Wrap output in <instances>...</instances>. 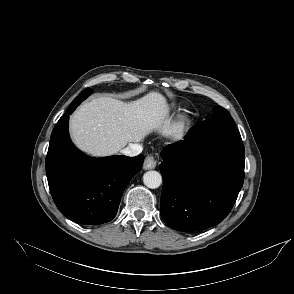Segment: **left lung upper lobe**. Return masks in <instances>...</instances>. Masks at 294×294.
<instances>
[{"mask_svg": "<svg viewBox=\"0 0 294 294\" xmlns=\"http://www.w3.org/2000/svg\"><path fill=\"white\" fill-rule=\"evenodd\" d=\"M213 112L215 116L220 117H228L230 116L229 112L221 106H216L213 108Z\"/></svg>", "mask_w": 294, "mask_h": 294, "instance_id": "obj_1", "label": "left lung upper lobe"}]
</instances>
